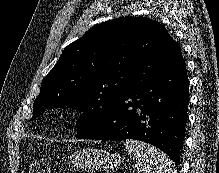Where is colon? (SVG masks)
<instances>
[{"instance_id": "obj_1", "label": "colon", "mask_w": 219, "mask_h": 173, "mask_svg": "<svg viewBox=\"0 0 219 173\" xmlns=\"http://www.w3.org/2000/svg\"><path fill=\"white\" fill-rule=\"evenodd\" d=\"M30 173H49L45 160H34L31 164Z\"/></svg>"}]
</instances>
